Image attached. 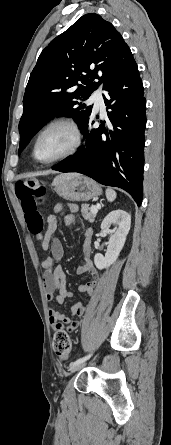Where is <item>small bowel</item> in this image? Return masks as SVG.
<instances>
[{
  "label": "small bowel",
  "instance_id": "obj_1",
  "mask_svg": "<svg viewBox=\"0 0 171 445\" xmlns=\"http://www.w3.org/2000/svg\"><path fill=\"white\" fill-rule=\"evenodd\" d=\"M59 208H57V211ZM58 227V221L52 217L49 221V227L42 241L43 250H50V256L46 257L41 266L44 269L43 282L46 299L48 301L55 300L62 304L66 299L72 298L73 293L66 288V275L63 268L58 264L64 255V249L61 241L54 237V233ZM83 260L77 268L79 274H89L92 279L79 285L81 292H86L90 297L94 294L98 284L99 275L91 259V238L87 233L82 241ZM87 310V305L83 302L75 303L69 315L62 314L55 308H48V316L50 325L53 330L62 328L69 332H74L80 325L78 320H72L73 317H82Z\"/></svg>",
  "mask_w": 171,
  "mask_h": 445
}]
</instances>
